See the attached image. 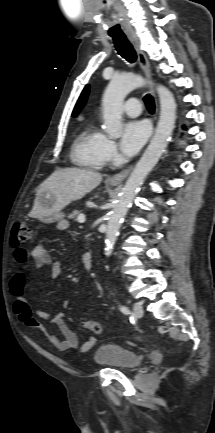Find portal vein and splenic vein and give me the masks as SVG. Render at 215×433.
Masks as SVG:
<instances>
[{
	"label": "portal vein and splenic vein",
	"instance_id": "18ae733b",
	"mask_svg": "<svg viewBox=\"0 0 215 433\" xmlns=\"http://www.w3.org/2000/svg\"><path fill=\"white\" fill-rule=\"evenodd\" d=\"M77 221L79 223H84L85 222V215L84 214L79 215L77 218Z\"/></svg>",
	"mask_w": 215,
	"mask_h": 433
}]
</instances>
